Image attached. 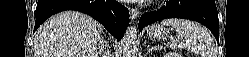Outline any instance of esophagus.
I'll return each mask as SVG.
<instances>
[{
  "label": "esophagus",
  "mask_w": 249,
  "mask_h": 57,
  "mask_svg": "<svg viewBox=\"0 0 249 57\" xmlns=\"http://www.w3.org/2000/svg\"><path fill=\"white\" fill-rule=\"evenodd\" d=\"M129 13H130V17L132 20H135L140 14V12L137 8H130Z\"/></svg>",
  "instance_id": "34e87169"
}]
</instances>
